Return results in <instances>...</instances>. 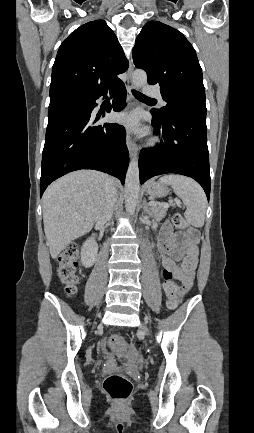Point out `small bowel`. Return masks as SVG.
Masks as SVG:
<instances>
[{"mask_svg":"<svg viewBox=\"0 0 254 433\" xmlns=\"http://www.w3.org/2000/svg\"><path fill=\"white\" fill-rule=\"evenodd\" d=\"M158 247L165 278L163 284L165 292L173 279H176L181 283L180 293L183 296L190 290L194 282V273L198 260V248L195 244V238L184 244L181 237L175 234L172 227L166 223L160 231ZM180 259H182V262L178 265L176 261ZM166 275H169L170 278H166ZM130 355L132 357L136 355L134 347L130 348ZM113 363V359H108L109 365H113Z\"/></svg>","mask_w":254,"mask_h":433,"instance_id":"obj_1","label":"small bowel"}]
</instances>
